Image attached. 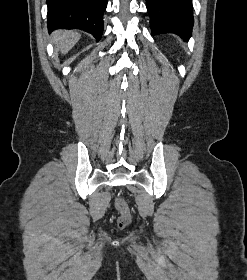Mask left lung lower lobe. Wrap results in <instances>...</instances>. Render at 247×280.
Wrapping results in <instances>:
<instances>
[{
    "label": "left lung lower lobe",
    "mask_w": 247,
    "mask_h": 280,
    "mask_svg": "<svg viewBox=\"0 0 247 280\" xmlns=\"http://www.w3.org/2000/svg\"><path fill=\"white\" fill-rule=\"evenodd\" d=\"M151 35L173 33L188 40L194 24L192 0H146Z\"/></svg>",
    "instance_id": "left-lung-lower-lobe-1"
}]
</instances>
